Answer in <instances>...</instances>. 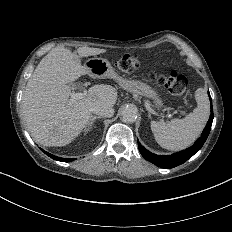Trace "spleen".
<instances>
[{"label":"spleen","instance_id":"spleen-1","mask_svg":"<svg viewBox=\"0 0 232 232\" xmlns=\"http://www.w3.org/2000/svg\"><path fill=\"white\" fill-rule=\"evenodd\" d=\"M198 107L185 118L170 121L152 120L151 130L155 141L163 148L178 150L192 144L200 135L209 117L210 105L207 93L199 88L196 91Z\"/></svg>","mask_w":232,"mask_h":232}]
</instances>
